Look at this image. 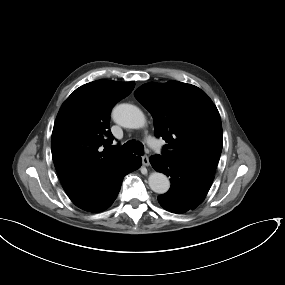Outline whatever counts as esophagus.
<instances>
[{
  "label": "esophagus",
  "mask_w": 285,
  "mask_h": 285,
  "mask_svg": "<svg viewBox=\"0 0 285 285\" xmlns=\"http://www.w3.org/2000/svg\"><path fill=\"white\" fill-rule=\"evenodd\" d=\"M142 164L144 166H149L150 165L148 156H146V155L142 156Z\"/></svg>",
  "instance_id": "obj_1"
}]
</instances>
